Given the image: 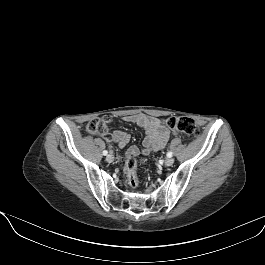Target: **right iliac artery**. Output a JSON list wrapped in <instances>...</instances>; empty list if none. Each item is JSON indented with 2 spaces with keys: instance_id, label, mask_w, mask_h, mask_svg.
<instances>
[{
  "instance_id": "82829eb1",
  "label": "right iliac artery",
  "mask_w": 265,
  "mask_h": 265,
  "mask_svg": "<svg viewBox=\"0 0 265 265\" xmlns=\"http://www.w3.org/2000/svg\"><path fill=\"white\" fill-rule=\"evenodd\" d=\"M108 152L106 150L103 151V155H107Z\"/></svg>"
}]
</instances>
